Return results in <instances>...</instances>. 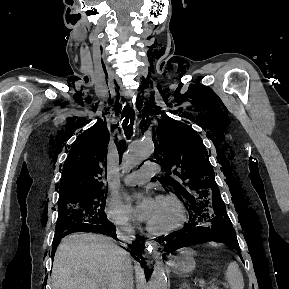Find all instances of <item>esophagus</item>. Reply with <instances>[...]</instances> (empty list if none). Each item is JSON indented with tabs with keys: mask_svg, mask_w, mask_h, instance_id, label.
Here are the masks:
<instances>
[{
	"mask_svg": "<svg viewBox=\"0 0 289 289\" xmlns=\"http://www.w3.org/2000/svg\"><path fill=\"white\" fill-rule=\"evenodd\" d=\"M145 245H146L147 250L150 253H152L153 255H157L158 254V252H159V244L155 240L147 239L145 241Z\"/></svg>",
	"mask_w": 289,
	"mask_h": 289,
	"instance_id": "34e87169",
	"label": "esophagus"
}]
</instances>
